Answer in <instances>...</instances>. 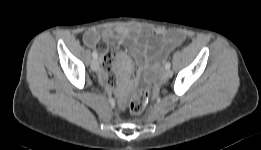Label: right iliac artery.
Instances as JSON below:
<instances>
[{
    "label": "right iliac artery",
    "instance_id": "right-iliac-artery-1",
    "mask_svg": "<svg viewBox=\"0 0 261 150\" xmlns=\"http://www.w3.org/2000/svg\"><path fill=\"white\" fill-rule=\"evenodd\" d=\"M92 56H93L94 59H97V58H98L97 52H96V51H93Z\"/></svg>",
    "mask_w": 261,
    "mask_h": 150
}]
</instances>
